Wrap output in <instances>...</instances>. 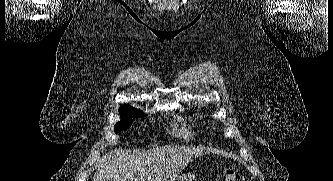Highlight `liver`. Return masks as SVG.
Here are the masks:
<instances>
[{"label":"liver","instance_id":"obj_1","mask_svg":"<svg viewBox=\"0 0 333 181\" xmlns=\"http://www.w3.org/2000/svg\"><path fill=\"white\" fill-rule=\"evenodd\" d=\"M204 148L162 146L146 152L112 151L102 157L92 181H175Z\"/></svg>","mask_w":333,"mask_h":181}]
</instances>
